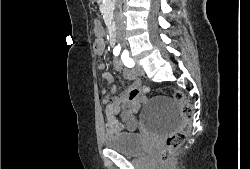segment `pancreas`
Returning a JSON list of instances; mask_svg holds the SVG:
<instances>
[{"label":"pancreas","mask_w":250,"mask_h":169,"mask_svg":"<svg viewBox=\"0 0 250 169\" xmlns=\"http://www.w3.org/2000/svg\"><path fill=\"white\" fill-rule=\"evenodd\" d=\"M114 0H105L104 4H101L100 8L104 14V12H106V10H109V8H112V4H113Z\"/></svg>","instance_id":"cf45deb5"}]
</instances>
